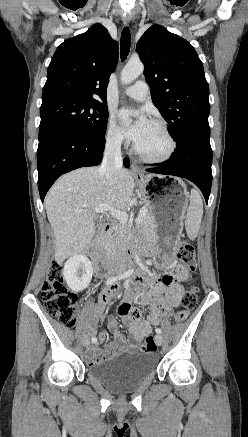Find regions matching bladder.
Returning <instances> with one entry per match:
<instances>
[{
    "mask_svg": "<svg viewBox=\"0 0 248 437\" xmlns=\"http://www.w3.org/2000/svg\"><path fill=\"white\" fill-rule=\"evenodd\" d=\"M156 357L151 353L130 352L92 365L88 374L116 393L133 390L155 371Z\"/></svg>",
    "mask_w": 248,
    "mask_h": 437,
    "instance_id": "31cf9c89",
    "label": "bladder"
}]
</instances>
